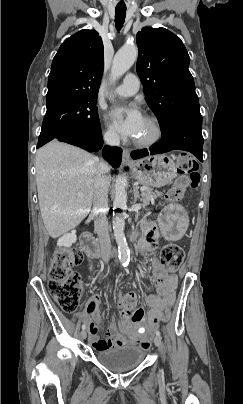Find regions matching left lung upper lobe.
Listing matches in <instances>:
<instances>
[{"label":"left lung upper lobe","mask_w":243,"mask_h":404,"mask_svg":"<svg viewBox=\"0 0 243 404\" xmlns=\"http://www.w3.org/2000/svg\"><path fill=\"white\" fill-rule=\"evenodd\" d=\"M136 42L137 74L161 129L179 116L201 115L190 58L180 38L165 28L145 27Z\"/></svg>","instance_id":"1"}]
</instances>
